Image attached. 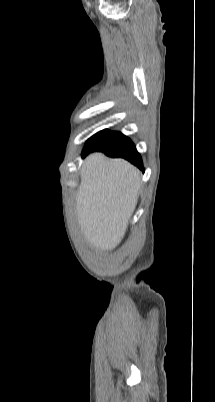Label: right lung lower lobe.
I'll return each mask as SVG.
<instances>
[{
    "label": "right lung lower lobe",
    "instance_id": "1",
    "mask_svg": "<svg viewBox=\"0 0 215 402\" xmlns=\"http://www.w3.org/2000/svg\"><path fill=\"white\" fill-rule=\"evenodd\" d=\"M93 151L104 152L107 156L110 157H122L144 171L140 154L137 152L132 141L126 136H124L120 141L112 145H85L83 149V155H86Z\"/></svg>",
    "mask_w": 215,
    "mask_h": 402
}]
</instances>
